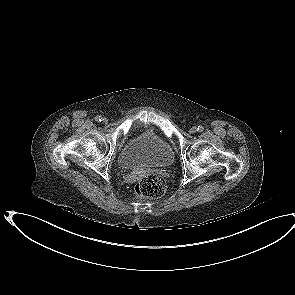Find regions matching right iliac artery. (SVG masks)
<instances>
[{"mask_svg": "<svg viewBox=\"0 0 295 295\" xmlns=\"http://www.w3.org/2000/svg\"><path fill=\"white\" fill-rule=\"evenodd\" d=\"M95 120H96L97 122H101V121H102V117H101V116H97V117L95 118Z\"/></svg>", "mask_w": 295, "mask_h": 295, "instance_id": "82829eb1", "label": "right iliac artery"}]
</instances>
